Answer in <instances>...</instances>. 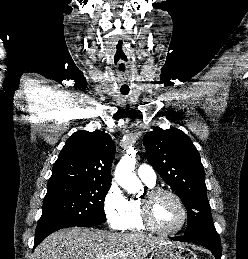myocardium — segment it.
I'll use <instances>...</instances> for the list:
<instances>
[{
  "label": "myocardium",
  "mask_w": 248,
  "mask_h": 259,
  "mask_svg": "<svg viewBox=\"0 0 248 259\" xmlns=\"http://www.w3.org/2000/svg\"><path fill=\"white\" fill-rule=\"evenodd\" d=\"M161 195H167V196L171 197L172 199H174L181 210L180 224L178 225L177 228H175L173 230L166 231V230L160 229L155 224V221L153 219L152 205H153L154 200ZM140 203H141L142 220H143L145 226L147 227V229H149L150 231L157 233L159 235H162V236H174V235L178 234L184 228L186 221H187V209H186L183 201L181 200V198L175 192H173L169 189L161 188V187L150 188L149 190H147L144 197L140 200Z\"/></svg>",
  "instance_id": "f54148a6"
}]
</instances>
